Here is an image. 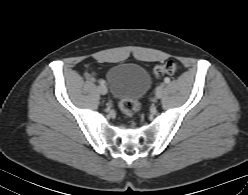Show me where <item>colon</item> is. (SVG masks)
Instances as JSON below:
<instances>
[{"label":"colon","mask_w":248,"mask_h":195,"mask_svg":"<svg viewBox=\"0 0 248 195\" xmlns=\"http://www.w3.org/2000/svg\"><path fill=\"white\" fill-rule=\"evenodd\" d=\"M179 65L173 60H169L163 64L157 65L153 68V74L157 77H161L165 74H174L179 70ZM120 109L123 114L132 118L137 111V103L131 98H122L120 100Z\"/></svg>","instance_id":"1"}]
</instances>
